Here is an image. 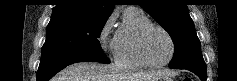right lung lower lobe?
I'll return each instance as SVG.
<instances>
[{
  "mask_svg": "<svg viewBox=\"0 0 237 81\" xmlns=\"http://www.w3.org/2000/svg\"><path fill=\"white\" fill-rule=\"evenodd\" d=\"M94 61L109 64L110 61L97 56H44L41 57L37 71V81H48L66 66L77 63Z\"/></svg>",
  "mask_w": 237,
  "mask_h": 81,
  "instance_id": "right-lung-lower-lobe-1",
  "label": "right lung lower lobe"
}]
</instances>
